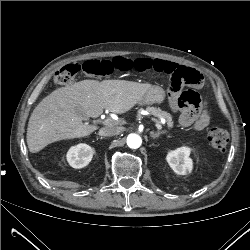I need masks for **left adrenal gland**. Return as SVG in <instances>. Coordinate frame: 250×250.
<instances>
[{
  "mask_svg": "<svg viewBox=\"0 0 250 250\" xmlns=\"http://www.w3.org/2000/svg\"><path fill=\"white\" fill-rule=\"evenodd\" d=\"M165 131H158V132H150V136L152 139H156L158 138L161 134H165Z\"/></svg>",
  "mask_w": 250,
  "mask_h": 250,
  "instance_id": "a2214340",
  "label": "left adrenal gland"
}]
</instances>
